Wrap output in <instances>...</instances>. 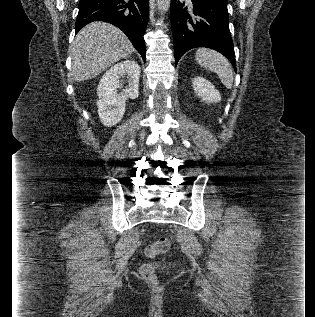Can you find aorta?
I'll return each instance as SVG.
<instances>
[{
    "label": "aorta",
    "mask_w": 315,
    "mask_h": 317,
    "mask_svg": "<svg viewBox=\"0 0 315 317\" xmlns=\"http://www.w3.org/2000/svg\"><path fill=\"white\" fill-rule=\"evenodd\" d=\"M171 0H157V6L161 14H164L170 8Z\"/></svg>",
    "instance_id": "762f6f07"
}]
</instances>
